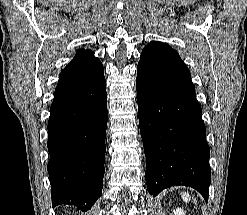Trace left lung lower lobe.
Returning <instances> with one entry per match:
<instances>
[{
  "label": "left lung lower lobe",
  "instance_id": "left-lung-lower-lobe-1",
  "mask_svg": "<svg viewBox=\"0 0 247 215\" xmlns=\"http://www.w3.org/2000/svg\"><path fill=\"white\" fill-rule=\"evenodd\" d=\"M136 88L149 193L184 185L207 201L210 149L190 71L177 51L161 42L146 45Z\"/></svg>",
  "mask_w": 247,
  "mask_h": 215
}]
</instances>
